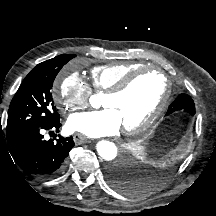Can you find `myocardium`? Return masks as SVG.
I'll return each instance as SVG.
<instances>
[{"label":"myocardium","instance_id":"myocardium-1","mask_svg":"<svg viewBox=\"0 0 216 216\" xmlns=\"http://www.w3.org/2000/svg\"><path fill=\"white\" fill-rule=\"evenodd\" d=\"M148 71H156L163 77L165 81L164 94L159 104L156 106V108L142 122L132 127L123 128V132L126 135H135V134H139V133L146 131L165 112L169 104L171 93H172V85H171L170 79L167 76V74L157 66H152V65L151 66H141L133 70L132 72L128 73L126 76H124L120 80V82L117 85H115L113 88L105 92L104 97L119 96L129 89L133 81L138 76Z\"/></svg>","mask_w":216,"mask_h":216}]
</instances>
